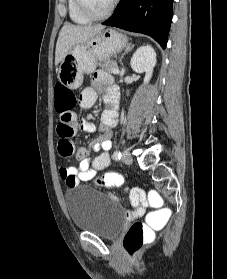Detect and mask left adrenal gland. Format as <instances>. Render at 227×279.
<instances>
[{"mask_svg": "<svg viewBox=\"0 0 227 279\" xmlns=\"http://www.w3.org/2000/svg\"><path fill=\"white\" fill-rule=\"evenodd\" d=\"M133 47H134L133 44H128V46L126 47L125 52L122 54V56L120 58V63L122 66H123L122 59H123L124 55H126L129 51H131L133 49ZM123 69H124V67H123ZM124 72H125V69H124Z\"/></svg>", "mask_w": 227, "mask_h": 279, "instance_id": "a2214340", "label": "left adrenal gland"}]
</instances>
